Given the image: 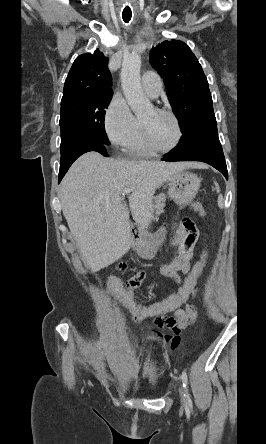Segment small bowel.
I'll return each mask as SVG.
<instances>
[{"mask_svg":"<svg viewBox=\"0 0 266 444\" xmlns=\"http://www.w3.org/2000/svg\"><path fill=\"white\" fill-rule=\"evenodd\" d=\"M199 239V232L195 224L185 219L180 224L177 231L172 235L171 240L175 244L180 245L179 256L172 261L164 264L161 267V273L177 284L181 283V278L178 272L187 274L191 270V262L194 257V249ZM145 279L144 272L134 273L129 280L132 282L134 289L139 287ZM116 283L115 279H110L107 283L108 286H112ZM194 294L196 292H193ZM197 313L192 305H188L185 309H177L173 315L162 319H151L150 324H145V319H138L132 317V321L141 324L150 331H152L160 342L167 345L170 349H175L180 342V333L188 328L196 319ZM167 327L170 330V334L161 335L158 329Z\"/></svg>","mask_w":266,"mask_h":444,"instance_id":"1","label":"small bowel"}]
</instances>
